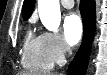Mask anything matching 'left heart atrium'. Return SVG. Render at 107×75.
Instances as JSON below:
<instances>
[{
	"label": "left heart atrium",
	"mask_w": 107,
	"mask_h": 75,
	"mask_svg": "<svg viewBox=\"0 0 107 75\" xmlns=\"http://www.w3.org/2000/svg\"><path fill=\"white\" fill-rule=\"evenodd\" d=\"M65 36L70 45H76L83 34V24L81 18L76 14H70L64 21Z\"/></svg>",
	"instance_id": "39dd6f15"
}]
</instances>
